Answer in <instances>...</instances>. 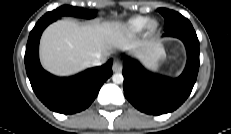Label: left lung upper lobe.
Segmentation results:
<instances>
[{
	"label": "left lung upper lobe",
	"instance_id": "obj_1",
	"mask_svg": "<svg viewBox=\"0 0 231 134\" xmlns=\"http://www.w3.org/2000/svg\"><path fill=\"white\" fill-rule=\"evenodd\" d=\"M158 11L163 15L165 19V25H164L165 32H169L178 27L192 25L187 18H185L178 12L165 8H159Z\"/></svg>",
	"mask_w": 231,
	"mask_h": 134
}]
</instances>
